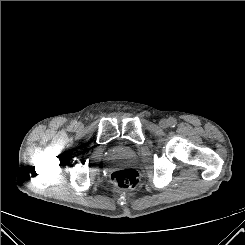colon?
Wrapping results in <instances>:
<instances>
[{
  "mask_svg": "<svg viewBox=\"0 0 245 245\" xmlns=\"http://www.w3.org/2000/svg\"><path fill=\"white\" fill-rule=\"evenodd\" d=\"M112 183L121 189H132L138 184V173L132 168L117 169L111 174Z\"/></svg>",
  "mask_w": 245,
  "mask_h": 245,
  "instance_id": "colon-1",
  "label": "colon"
}]
</instances>
